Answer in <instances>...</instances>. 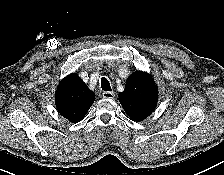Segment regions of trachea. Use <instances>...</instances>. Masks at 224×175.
I'll list each match as a JSON object with an SVG mask.
<instances>
[{"mask_svg": "<svg viewBox=\"0 0 224 175\" xmlns=\"http://www.w3.org/2000/svg\"><path fill=\"white\" fill-rule=\"evenodd\" d=\"M101 88L103 91H111L112 90L109 81L105 77H103L101 79Z\"/></svg>", "mask_w": 224, "mask_h": 175, "instance_id": "obj_1", "label": "trachea"}]
</instances>
